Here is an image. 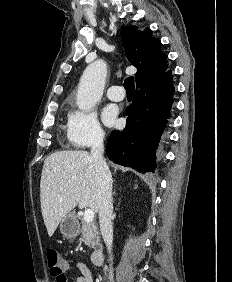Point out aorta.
I'll use <instances>...</instances> for the list:
<instances>
[{
    "label": "aorta",
    "mask_w": 232,
    "mask_h": 282,
    "mask_svg": "<svg viewBox=\"0 0 232 282\" xmlns=\"http://www.w3.org/2000/svg\"><path fill=\"white\" fill-rule=\"evenodd\" d=\"M106 75L107 66L103 60H97L86 67L77 90L76 102L79 109L90 110L101 99Z\"/></svg>",
    "instance_id": "obj_1"
}]
</instances>
